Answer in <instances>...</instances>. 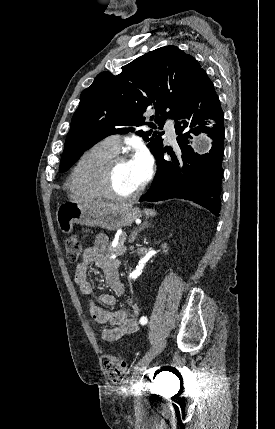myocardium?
Segmentation results:
<instances>
[{
	"label": "myocardium",
	"instance_id": "myocardium-1",
	"mask_svg": "<svg viewBox=\"0 0 275 429\" xmlns=\"http://www.w3.org/2000/svg\"><path fill=\"white\" fill-rule=\"evenodd\" d=\"M127 160H129L128 155L115 154L106 162L101 180V189L106 198L121 202L132 201L137 199L144 191L146 185L145 182L142 183L141 186L134 193L129 195H120L114 190L113 176L115 168L119 163H122Z\"/></svg>",
	"mask_w": 275,
	"mask_h": 429
}]
</instances>
